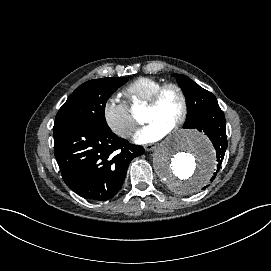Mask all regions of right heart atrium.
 <instances>
[{
	"mask_svg": "<svg viewBox=\"0 0 271 271\" xmlns=\"http://www.w3.org/2000/svg\"><path fill=\"white\" fill-rule=\"evenodd\" d=\"M102 116L110 130L122 139H129L136 129V121L121 94L106 97L102 104Z\"/></svg>",
	"mask_w": 271,
	"mask_h": 271,
	"instance_id": "1",
	"label": "right heart atrium"
}]
</instances>
